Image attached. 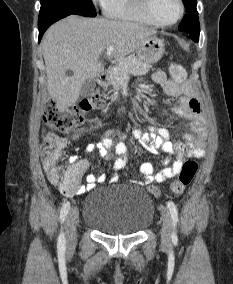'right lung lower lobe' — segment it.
<instances>
[{
  "instance_id": "98d812e1",
  "label": "right lung lower lobe",
  "mask_w": 233,
  "mask_h": 284,
  "mask_svg": "<svg viewBox=\"0 0 233 284\" xmlns=\"http://www.w3.org/2000/svg\"><path fill=\"white\" fill-rule=\"evenodd\" d=\"M51 25V24H50ZM47 25L45 27L40 28V33H39V41L41 40L42 35L44 34V32L46 31V29L50 26Z\"/></svg>"
}]
</instances>
